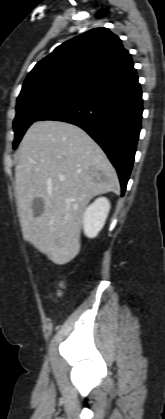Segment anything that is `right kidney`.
Wrapping results in <instances>:
<instances>
[{"mask_svg": "<svg viewBox=\"0 0 165 419\" xmlns=\"http://www.w3.org/2000/svg\"><path fill=\"white\" fill-rule=\"evenodd\" d=\"M110 202L105 197L96 199L83 214V230L87 237L94 238L103 228L110 211Z\"/></svg>", "mask_w": 165, "mask_h": 419, "instance_id": "ca27d5eb", "label": "right kidney"}]
</instances>
